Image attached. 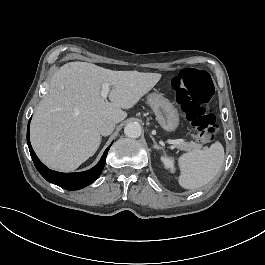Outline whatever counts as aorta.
Returning a JSON list of instances; mask_svg holds the SVG:
<instances>
[{
    "label": "aorta",
    "mask_w": 265,
    "mask_h": 265,
    "mask_svg": "<svg viewBox=\"0 0 265 265\" xmlns=\"http://www.w3.org/2000/svg\"><path fill=\"white\" fill-rule=\"evenodd\" d=\"M124 133L130 138H138L141 136V126L137 122L128 123L124 128Z\"/></svg>",
    "instance_id": "obj_1"
}]
</instances>
